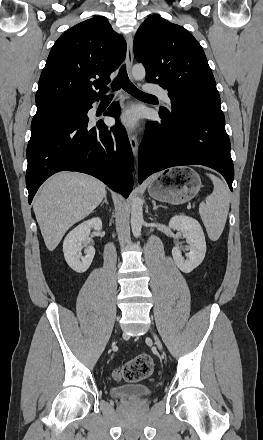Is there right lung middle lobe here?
Segmentation results:
<instances>
[{
  "instance_id": "right-lung-middle-lobe-1",
  "label": "right lung middle lobe",
  "mask_w": 263,
  "mask_h": 440,
  "mask_svg": "<svg viewBox=\"0 0 263 440\" xmlns=\"http://www.w3.org/2000/svg\"><path fill=\"white\" fill-rule=\"evenodd\" d=\"M84 110L82 102H60L37 108L31 123V138L60 123L81 119Z\"/></svg>"
}]
</instances>
